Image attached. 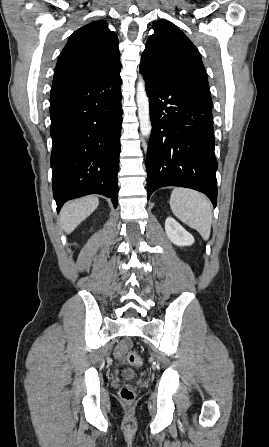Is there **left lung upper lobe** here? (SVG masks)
<instances>
[{
    "label": "left lung upper lobe",
    "mask_w": 269,
    "mask_h": 447,
    "mask_svg": "<svg viewBox=\"0 0 269 447\" xmlns=\"http://www.w3.org/2000/svg\"><path fill=\"white\" fill-rule=\"evenodd\" d=\"M145 45L141 64L151 71L202 92L211 100L201 56L189 38L174 24L159 21Z\"/></svg>",
    "instance_id": "obj_1"
}]
</instances>
